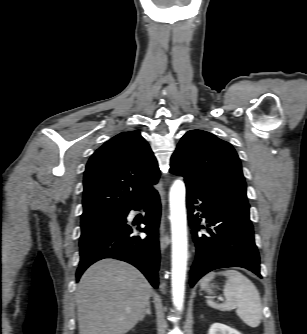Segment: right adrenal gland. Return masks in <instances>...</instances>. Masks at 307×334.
Instances as JSON below:
<instances>
[{"instance_id": "right-adrenal-gland-1", "label": "right adrenal gland", "mask_w": 307, "mask_h": 334, "mask_svg": "<svg viewBox=\"0 0 307 334\" xmlns=\"http://www.w3.org/2000/svg\"><path fill=\"white\" fill-rule=\"evenodd\" d=\"M152 313H151V307H150V303L148 304V306H147V308H146V310H145V312H144V314L142 315V317H141V321L144 319V317L146 316V315H151Z\"/></svg>"}]
</instances>
